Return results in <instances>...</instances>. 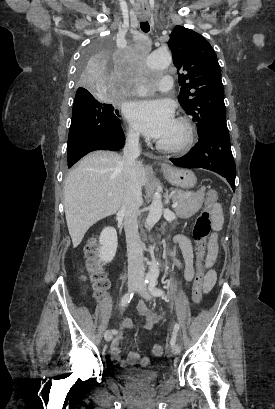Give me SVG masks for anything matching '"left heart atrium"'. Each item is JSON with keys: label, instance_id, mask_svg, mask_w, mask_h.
Returning a JSON list of instances; mask_svg holds the SVG:
<instances>
[{"label": "left heart atrium", "instance_id": "1", "mask_svg": "<svg viewBox=\"0 0 275 409\" xmlns=\"http://www.w3.org/2000/svg\"><path fill=\"white\" fill-rule=\"evenodd\" d=\"M125 113L144 135L154 139L161 137L174 123L172 107L160 100L128 103Z\"/></svg>", "mask_w": 275, "mask_h": 409}]
</instances>
